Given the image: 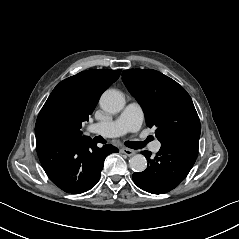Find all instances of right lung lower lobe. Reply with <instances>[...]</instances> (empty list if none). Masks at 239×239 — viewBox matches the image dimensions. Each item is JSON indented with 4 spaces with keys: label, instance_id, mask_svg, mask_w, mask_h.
Returning <instances> with one entry per match:
<instances>
[{
    "label": "right lung lower lobe",
    "instance_id": "obj_1",
    "mask_svg": "<svg viewBox=\"0 0 239 239\" xmlns=\"http://www.w3.org/2000/svg\"><path fill=\"white\" fill-rule=\"evenodd\" d=\"M36 149L49 179L72 194L93 188L99 181L105 157L118 152L111 145L98 148L88 136L70 139L48 135L36 140Z\"/></svg>",
    "mask_w": 239,
    "mask_h": 239
}]
</instances>
